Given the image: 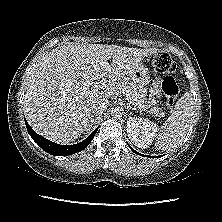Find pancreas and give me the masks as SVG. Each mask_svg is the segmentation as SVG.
I'll return each instance as SVG.
<instances>
[{
	"mask_svg": "<svg viewBox=\"0 0 222 222\" xmlns=\"http://www.w3.org/2000/svg\"><path fill=\"white\" fill-rule=\"evenodd\" d=\"M120 91L128 96V100L138 109V110H146L149 107L145 99L146 97V89L142 87H138L133 83L125 82L120 85ZM153 116L163 117L165 112L162 111L161 108H152L148 111Z\"/></svg>",
	"mask_w": 222,
	"mask_h": 222,
	"instance_id": "obj_1",
	"label": "pancreas"
}]
</instances>
